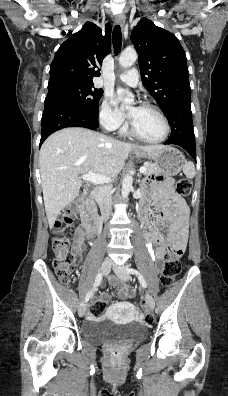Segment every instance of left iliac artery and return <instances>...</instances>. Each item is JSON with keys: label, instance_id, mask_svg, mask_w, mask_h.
I'll return each mask as SVG.
<instances>
[{"label": "left iliac artery", "instance_id": "obj_1", "mask_svg": "<svg viewBox=\"0 0 228 396\" xmlns=\"http://www.w3.org/2000/svg\"><path fill=\"white\" fill-rule=\"evenodd\" d=\"M126 271H127L129 274L136 275V276L138 277L139 282H140L141 285L143 286V288H146V287H147V283H146L145 279L143 278L142 274H141L138 270H136V269H134V268H127Z\"/></svg>", "mask_w": 228, "mask_h": 396}]
</instances>
